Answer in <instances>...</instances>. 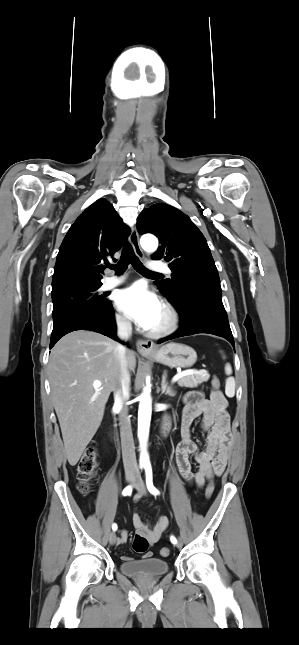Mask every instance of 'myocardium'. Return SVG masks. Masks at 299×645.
Here are the masks:
<instances>
[{
  "label": "myocardium",
  "instance_id": "obj_1",
  "mask_svg": "<svg viewBox=\"0 0 299 645\" xmlns=\"http://www.w3.org/2000/svg\"><path fill=\"white\" fill-rule=\"evenodd\" d=\"M162 313L164 321L162 325L156 329H150L147 334L152 338H160L174 332L179 324V317L177 312L168 304L162 306Z\"/></svg>",
  "mask_w": 299,
  "mask_h": 645
}]
</instances>
